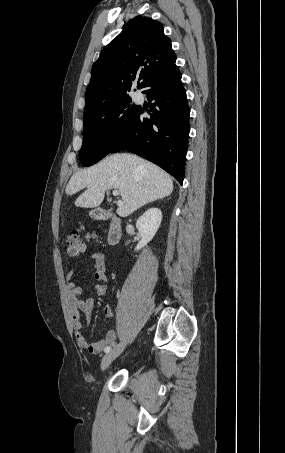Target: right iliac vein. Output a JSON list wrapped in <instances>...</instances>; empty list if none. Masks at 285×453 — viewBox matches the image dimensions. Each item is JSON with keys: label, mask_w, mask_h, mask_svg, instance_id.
Listing matches in <instances>:
<instances>
[{"label": "right iliac vein", "mask_w": 285, "mask_h": 453, "mask_svg": "<svg viewBox=\"0 0 285 453\" xmlns=\"http://www.w3.org/2000/svg\"><path fill=\"white\" fill-rule=\"evenodd\" d=\"M126 347V341H122L112 350H110L102 359L101 370H106L109 365L123 352Z\"/></svg>", "instance_id": "63e3f726"}]
</instances>
